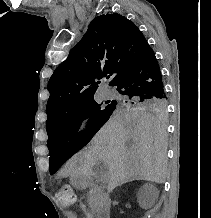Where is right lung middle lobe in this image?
Wrapping results in <instances>:
<instances>
[{
  "instance_id": "1",
  "label": "right lung middle lobe",
  "mask_w": 211,
  "mask_h": 218,
  "mask_svg": "<svg viewBox=\"0 0 211 218\" xmlns=\"http://www.w3.org/2000/svg\"><path fill=\"white\" fill-rule=\"evenodd\" d=\"M106 103L109 104L106 107H101V104L97 103L95 100H91L62 116L56 124L47 131V146L50 152L52 149H64L70 151L73 155L79 151L109 119L117 106H148L159 111H165L167 108L166 98L143 99L125 97L118 101L112 100ZM87 118H90L89 130L78 133L82 121ZM63 163L64 160L50 156V174H54Z\"/></svg>"
}]
</instances>
